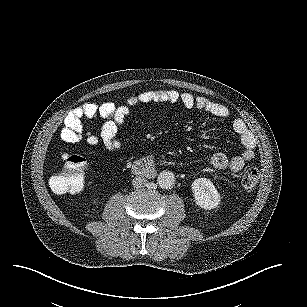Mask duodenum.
<instances>
[{
	"label": "duodenum",
	"mask_w": 307,
	"mask_h": 307,
	"mask_svg": "<svg viewBox=\"0 0 307 307\" xmlns=\"http://www.w3.org/2000/svg\"><path fill=\"white\" fill-rule=\"evenodd\" d=\"M131 169L134 174L146 177H152L156 173L155 164L151 158H144L135 161Z\"/></svg>",
	"instance_id": "1"
}]
</instances>
